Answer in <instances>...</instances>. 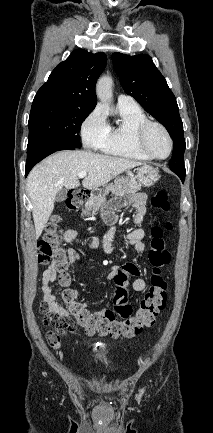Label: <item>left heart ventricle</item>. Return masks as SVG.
Wrapping results in <instances>:
<instances>
[{"mask_svg":"<svg viewBox=\"0 0 213 433\" xmlns=\"http://www.w3.org/2000/svg\"><path fill=\"white\" fill-rule=\"evenodd\" d=\"M147 145L150 150L158 156H166L169 152V141L166 135L156 127L149 130Z\"/></svg>","mask_w":213,"mask_h":433,"instance_id":"1","label":"left heart ventricle"}]
</instances>
